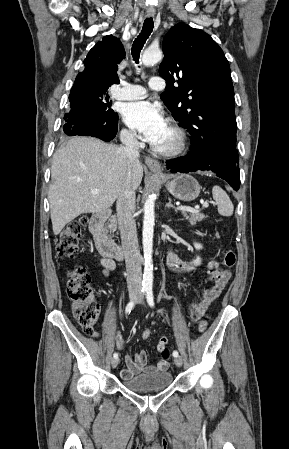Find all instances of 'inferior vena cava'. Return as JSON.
Instances as JSON below:
<instances>
[{
    "mask_svg": "<svg viewBox=\"0 0 289 449\" xmlns=\"http://www.w3.org/2000/svg\"><path fill=\"white\" fill-rule=\"evenodd\" d=\"M123 147L121 151L126 159V172L121 186L116 211L122 248L127 269V286L129 292H140L141 256L137 249L136 223L132 216L135 205V191L131 186V167L139 158V142L133 133L121 135Z\"/></svg>",
    "mask_w": 289,
    "mask_h": 449,
    "instance_id": "1",
    "label": "inferior vena cava"
}]
</instances>
